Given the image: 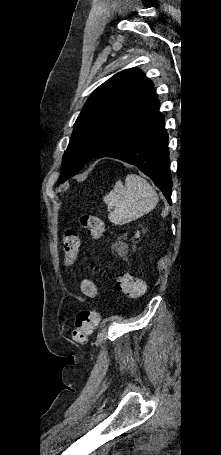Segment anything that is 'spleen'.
<instances>
[{
    "label": "spleen",
    "instance_id": "1",
    "mask_svg": "<svg viewBox=\"0 0 221 455\" xmlns=\"http://www.w3.org/2000/svg\"><path fill=\"white\" fill-rule=\"evenodd\" d=\"M103 200L112 210L108 219L115 225H123L153 210L158 203V195L144 178L128 174L125 184L117 181Z\"/></svg>",
    "mask_w": 221,
    "mask_h": 455
}]
</instances>
